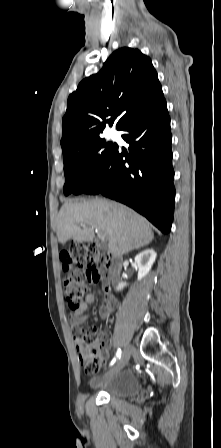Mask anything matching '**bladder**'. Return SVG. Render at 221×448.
<instances>
[{"label":"bladder","instance_id":"bladder-1","mask_svg":"<svg viewBox=\"0 0 221 448\" xmlns=\"http://www.w3.org/2000/svg\"><path fill=\"white\" fill-rule=\"evenodd\" d=\"M93 390L114 398L131 399L142 392V384L132 371L105 372L89 381Z\"/></svg>","mask_w":221,"mask_h":448}]
</instances>
